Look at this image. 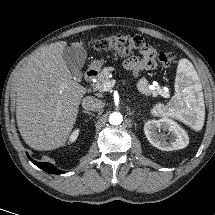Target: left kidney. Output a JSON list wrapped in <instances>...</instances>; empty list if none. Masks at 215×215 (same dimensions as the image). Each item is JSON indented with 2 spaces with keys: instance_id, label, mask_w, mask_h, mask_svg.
<instances>
[{
  "instance_id": "1",
  "label": "left kidney",
  "mask_w": 215,
  "mask_h": 215,
  "mask_svg": "<svg viewBox=\"0 0 215 215\" xmlns=\"http://www.w3.org/2000/svg\"><path fill=\"white\" fill-rule=\"evenodd\" d=\"M161 128L163 131L171 133L169 142L165 140V134L158 133ZM144 132L148 141L163 151L183 149L189 144V137L184 129L167 117L148 121L144 125Z\"/></svg>"
}]
</instances>
